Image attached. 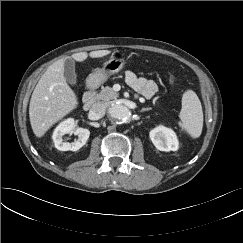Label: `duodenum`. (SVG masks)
Wrapping results in <instances>:
<instances>
[{"instance_id": "1", "label": "duodenum", "mask_w": 243, "mask_h": 243, "mask_svg": "<svg viewBox=\"0 0 243 243\" xmlns=\"http://www.w3.org/2000/svg\"><path fill=\"white\" fill-rule=\"evenodd\" d=\"M96 102V89L89 87L83 96V109L89 110Z\"/></svg>"}]
</instances>
